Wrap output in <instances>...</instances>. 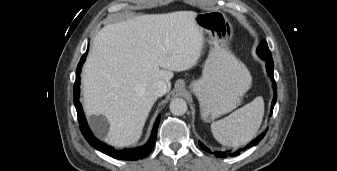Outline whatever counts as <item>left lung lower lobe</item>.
I'll return each instance as SVG.
<instances>
[{
	"instance_id": "0a47b994",
	"label": "left lung lower lobe",
	"mask_w": 337,
	"mask_h": 171,
	"mask_svg": "<svg viewBox=\"0 0 337 171\" xmlns=\"http://www.w3.org/2000/svg\"><path fill=\"white\" fill-rule=\"evenodd\" d=\"M267 64H266V69H267V72H268V75L270 76V78L272 79V82H273V88H274V98H273V101H272V105H271V114H272V110L274 108V105L276 103V99H277V92H276V83H275V80H274V75H273V60L272 59H264ZM268 129H266L261 135H259L256 139H254L252 142H250L246 148H249V147H252L256 144H258L262 138L265 136L266 134V131ZM199 145L202 147V149H204L206 152H210V150L205 147L201 142H199ZM243 149H238L236 152H233V153H226V152H220V151H215L214 154L216 155V157H227V155H230V156H237L240 154V152L242 151ZM245 150V148H244Z\"/></svg>"
}]
</instances>
